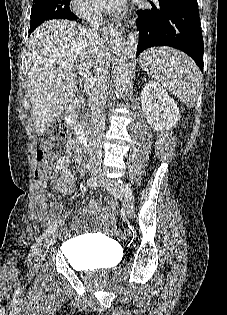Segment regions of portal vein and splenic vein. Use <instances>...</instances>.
I'll use <instances>...</instances> for the list:
<instances>
[{"label": "portal vein and splenic vein", "mask_w": 227, "mask_h": 315, "mask_svg": "<svg viewBox=\"0 0 227 315\" xmlns=\"http://www.w3.org/2000/svg\"><path fill=\"white\" fill-rule=\"evenodd\" d=\"M78 73H79V75H81L85 78L87 88H90L91 84L93 82V78L91 77V74L86 69V66L85 65H79L78 66Z\"/></svg>", "instance_id": "obj_1"}]
</instances>
